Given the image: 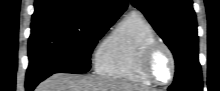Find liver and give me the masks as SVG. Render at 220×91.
Instances as JSON below:
<instances>
[{
  "label": "liver",
  "mask_w": 220,
  "mask_h": 91,
  "mask_svg": "<svg viewBox=\"0 0 220 91\" xmlns=\"http://www.w3.org/2000/svg\"><path fill=\"white\" fill-rule=\"evenodd\" d=\"M35 91H143L122 80L104 77H79L71 74H53Z\"/></svg>",
  "instance_id": "1"
}]
</instances>
